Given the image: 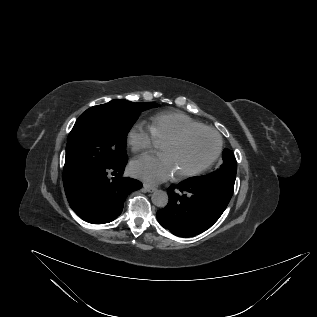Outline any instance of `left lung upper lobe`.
<instances>
[{
	"label": "left lung upper lobe",
	"mask_w": 317,
	"mask_h": 317,
	"mask_svg": "<svg viewBox=\"0 0 317 317\" xmlns=\"http://www.w3.org/2000/svg\"><path fill=\"white\" fill-rule=\"evenodd\" d=\"M222 158L223 164L215 172H212L208 175L191 178H203L204 180L220 181L234 185L237 170L236 160L228 149L223 151Z\"/></svg>",
	"instance_id": "1"
}]
</instances>
